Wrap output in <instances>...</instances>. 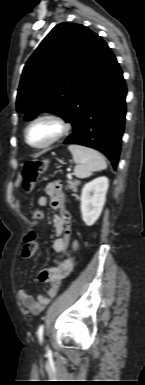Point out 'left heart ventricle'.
<instances>
[{
    "label": "left heart ventricle",
    "instance_id": "obj_1",
    "mask_svg": "<svg viewBox=\"0 0 145 385\" xmlns=\"http://www.w3.org/2000/svg\"><path fill=\"white\" fill-rule=\"evenodd\" d=\"M59 131L58 126L51 121H40L33 125L28 133L29 141L34 145H42L50 141Z\"/></svg>",
    "mask_w": 145,
    "mask_h": 385
}]
</instances>
